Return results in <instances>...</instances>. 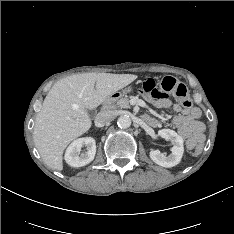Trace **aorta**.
Returning <instances> with one entry per match:
<instances>
[{
	"mask_svg": "<svg viewBox=\"0 0 234 234\" xmlns=\"http://www.w3.org/2000/svg\"><path fill=\"white\" fill-rule=\"evenodd\" d=\"M117 124L122 129L129 128L131 126V118L128 115H122L118 118Z\"/></svg>",
	"mask_w": 234,
	"mask_h": 234,
	"instance_id": "762f6f07",
	"label": "aorta"
}]
</instances>
